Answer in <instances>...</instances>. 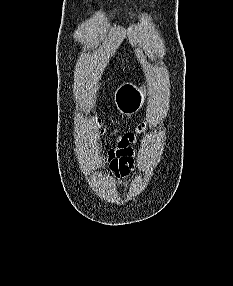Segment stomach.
<instances>
[{
	"label": "stomach",
	"instance_id": "obj_1",
	"mask_svg": "<svg viewBox=\"0 0 233 286\" xmlns=\"http://www.w3.org/2000/svg\"><path fill=\"white\" fill-rule=\"evenodd\" d=\"M145 100V89L137 88L131 83H123L114 93L116 108L124 115H132L142 107Z\"/></svg>",
	"mask_w": 233,
	"mask_h": 286
}]
</instances>
